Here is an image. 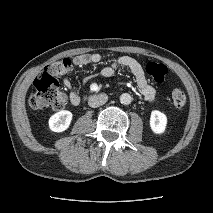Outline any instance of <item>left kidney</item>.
<instances>
[{
  "mask_svg": "<svg viewBox=\"0 0 213 213\" xmlns=\"http://www.w3.org/2000/svg\"><path fill=\"white\" fill-rule=\"evenodd\" d=\"M167 126V117L164 113L153 110L150 116V127L156 134H162L165 132Z\"/></svg>",
  "mask_w": 213,
  "mask_h": 213,
  "instance_id": "5707ae66",
  "label": "left kidney"
}]
</instances>
